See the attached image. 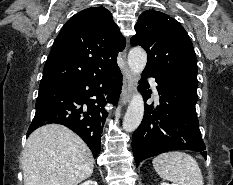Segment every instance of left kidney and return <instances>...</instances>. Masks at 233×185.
<instances>
[{"label": "left kidney", "instance_id": "obj_1", "mask_svg": "<svg viewBox=\"0 0 233 185\" xmlns=\"http://www.w3.org/2000/svg\"><path fill=\"white\" fill-rule=\"evenodd\" d=\"M160 185H174V184H169V183H161Z\"/></svg>", "mask_w": 233, "mask_h": 185}]
</instances>
